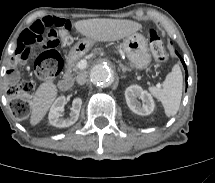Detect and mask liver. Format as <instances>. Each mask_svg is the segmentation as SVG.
Listing matches in <instances>:
<instances>
[{
    "label": "liver",
    "mask_w": 215,
    "mask_h": 183,
    "mask_svg": "<svg viewBox=\"0 0 215 183\" xmlns=\"http://www.w3.org/2000/svg\"><path fill=\"white\" fill-rule=\"evenodd\" d=\"M81 35L93 41L110 42L125 38L142 28V25L131 20L88 19L74 23ZM57 96V87L53 80L43 82L31 100L30 124L37 125L46 115Z\"/></svg>",
    "instance_id": "6515ba94"
}]
</instances>
